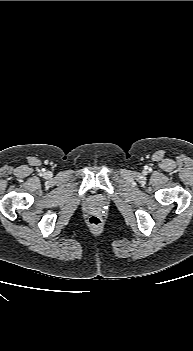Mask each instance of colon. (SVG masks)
I'll use <instances>...</instances> for the list:
<instances>
[{
  "instance_id": "colon-1",
  "label": "colon",
  "mask_w": 193,
  "mask_h": 351,
  "mask_svg": "<svg viewBox=\"0 0 193 351\" xmlns=\"http://www.w3.org/2000/svg\"><path fill=\"white\" fill-rule=\"evenodd\" d=\"M89 224L93 227H98L101 224V219L97 216H91L89 218Z\"/></svg>"
}]
</instances>
